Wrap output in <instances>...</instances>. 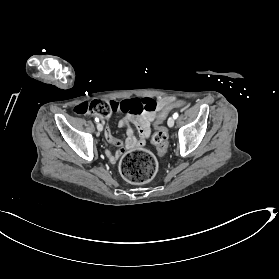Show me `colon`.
<instances>
[{"instance_id":"obj_1","label":"colon","mask_w":279,"mask_h":279,"mask_svg":"<svg viewBox=\"0 0 279 279\" xmlns=\"http://www.w3.org/2000/svg\"><path fill=\"white\" fill-rule=\"evenodd\" d=\"M185 106L184 102L168 101L159 113L155 122V132L152 143L159 155L165 154L168 147V132L162 125L163 121L176 108ZM158 102L152 98H136L120 102L105 99H96L89 103H82L74 108L77 114L91 113L102 118L108 117L112 112H124L131 115H141L144 112H155ZM120 172L122 176L133 184H143L150 181L157 172L155 156L146 150H132L121 159Z\"/></svg>"}]
</instances>
